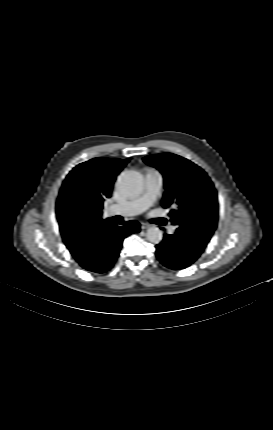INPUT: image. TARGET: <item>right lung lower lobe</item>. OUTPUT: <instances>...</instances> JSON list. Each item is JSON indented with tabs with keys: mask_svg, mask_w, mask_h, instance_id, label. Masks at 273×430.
<instances>
[{
	"mask_svg": "<svg viewBox=\"0 0 273 430\" xmlns=\"http://www.w3.org/2000/svg\"><path fill=\"white\" fill-rule=\"evenodd\" d=\"M139 231L140 224L136 221H128L122 227L107 221L101 223L93 227L86 248L74 258L84 269L104 273L113 267L124 238Z\"/></svg>",
	"mask_w": 273,
	"mask_h": 430,
	"instance_id": "right-lung-lower-lobe-1",
	"label": "right lung lower lobe"
}]
</instances>
